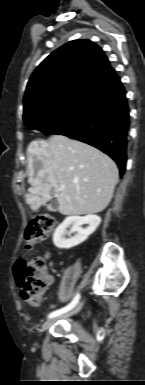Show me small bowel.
I'll use <instances>...</instances> for the list:
<instances>
[{
  "mask_svg": "<svg viewBox=\"0 0 145 385\" xmlns=\"http://www.w3.org/2000/svg\"><path fill=\"white\" fill-rule=\"evenodd\" d=\"M49 278H50V282L52 283L53 282V277L49 276Z\"/></svg>",
  "mask_w": 145,
  "mask_h": 385,
  "instance_id": "1",
  "label": "small bowel"
}]
</instances>
